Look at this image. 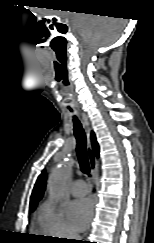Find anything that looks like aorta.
I'll return each instance as SVG.
<instances>
[{
    "label": "aorta",
    "instance_id": "1",
    "mask_svg": "<svg viewBox=\"0 0 154 243\" xmlns=\"http://www.w3.org/2000/svg\"><path fill=\"white\" fill-rule=\"evenodd\" d=\"M73 162L70 158L64 159L50 174L48 179L49 197L59 202L63 196V188L72 173Z\"/></svg>",
    "mask_w": 154,
    "mask_h": 243
}]
</instances>
